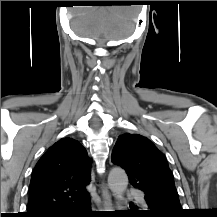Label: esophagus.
Returning a JSON list of instances; mask_svg holds the SVG:
<instances>
[{"label":"esophagus","instance_id":"obj_1","mask_svg":"<svg viewBox=\"0 0 217 217\" xmlns=\"http://www.w3.org/2000/svg\"><path fill=\"white\" fill-rule=\"evenodd\" d=\"M101 194H102V203L105 209H112L113 204L111 200V195L105 185L101 186Z\"/></svg>","mask_w":217,"mask_h":217}]
</instances>
